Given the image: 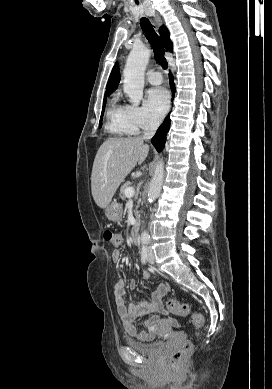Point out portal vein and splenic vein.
<instances>
[{"instance_id": "portal-vein-and-splenic-vein-1", "label": "portal vein and splenic vein", "mask_w": 272, "mask_h": 389, "mask_svg": "<svg viewBox=\"0 0 272 389\" xmlns=\"http://www.w3.org/2000/svg\"><path fill=\"white\" fill-rule=\"evenodd\" d=\"M125 196L126 197H129V198H131V197H133L134 196V194H135V189H134V187H127L126 189H125Z\"/></svg>"}]
</instances>
